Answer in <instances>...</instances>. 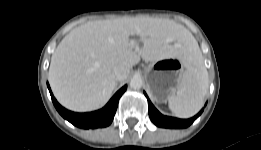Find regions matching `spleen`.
<instances>
[{
  "instance_id": "obj_1",
  "label": "spleen",
  "mask_w": 261,
  "mask_h": 150,
  "mask_svg": "<svg viewBox=\"0 0 261 150\" xmlns=\"http://www.w3.org/2000/svg\"><path fill=\"white\" fill-rule=\"evenodd\" d=\"M187 70L176 93L168 98L170 110L179 118H190L201 109L209 87L208 72L197 44L188 50Z\"/></svg>"
}]
</instances>
